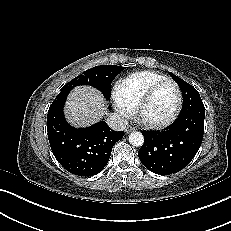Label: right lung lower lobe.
Segmentation results:
<instances>
[{
  "label": "right lung lower lobe",
  "instance_id": "1",
  "mask_svg": "<svg viewBox=\"0 0 231 231\" xmlns=\"http://www.w3.org/2000/svg\"><path fill=\"white\" fill-rule=\"evenodd\" d=\"M69 92L62 87L48 110V139L54 156L67 171L90 177L103 170L124 132L112 130L104 121L86 128L70 126L63 115Z\"/></svg>",
  "mask_w": 231,
  "mask_h": 231
}]
</instances>
